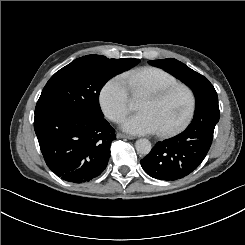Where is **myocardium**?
I'll list each match as a JSON object with an SVG mask.
<instances>
[{"label":"myocardium","mask_w":245,"mask_h":245,"mask_svg":"<svg viewBox=\"0 0 245 245\" xmlns=\"http://www.w3.org/2000/svg\"><path fill=\"white\" fill-rule=\"evenodd\" d=\"M177 90H183L186 93L187 100H188L187 109L183 117L178 122H176L174 125L168 128L160 130L159 133L162 136H169L176 133L178 130L184 127L191 119L195 107V97L193 91L188 85L183 83H178L166 87L151 85L141 93V96H154L156 101L160 102L168 98L171 94H173Z\"/></svg>","instance_id":"1"}]
</instances>
